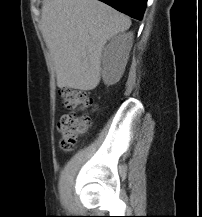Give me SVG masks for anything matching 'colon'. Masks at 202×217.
Instances as JSON below:
<instances>
[{
    "label": "colon",
    "mask_w": 202,
    "mask_h": 217,
    "mask_svg": "<svg viewBox=\"0 0 202 217\" xmlns=\"http://www.w3.org/2000/svg\"><path fill=\"white\" fill-rule=\"evenodd\" d=\"M63 106L67 110L58 122V130L61 134L60 148L64 152L72 151L78 140L85 134L90 124L88 115L78 116L75 109L89 107L92 98L84 91L75 89L62 90Z\"/></svg>",
    "instance_id": "1"
}]
</instances>
